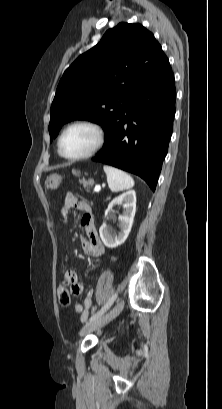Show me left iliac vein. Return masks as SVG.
Listing matches in <instances>:
<instances>
[{"mask_svg":"<svg viewBox=\"0 0 222 409\" xmlns=\"http://www.w3.org/2000/svg\"><path fill=\"white\" fill-rule=\"evenodd\" d=\"M124 308V302H118L109 312L102 315L101 317L97 318L96 320L87 323L81 330L80 335L85 336L91 333L94 330H97L110 321H112L115 317H117Z\"/></svg>","mask_w":222,"mask_h":409,"instance_id":"1","label":"left iliac vein"}]
</instances>
